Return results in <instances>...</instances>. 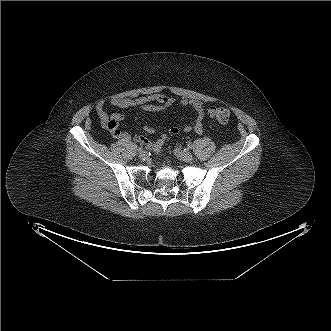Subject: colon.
Segmentation results:
<instances>
[{
    "instance_id": "colon-1",
    "label": "colon",
    "mask_w": 331,
    "mask_h": 331,
    "mask_svg": "<svg viewBox=\"0 0 331 331\" xmlns=\"http://www.w3.org/2000/svg\"><path fill=\"white\" fill-rule=\"evenodd\" d=\"M211 118L218 121L221 124H226L230 120V111L225 107L214 106L208 111Z\"/></svg>"
}]
</instances>
